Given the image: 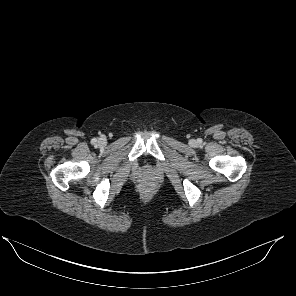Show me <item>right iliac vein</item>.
I'll list each match as a JSON object with an SVG mask.
<instances>
[{
	"label": "right iliac vein",
	"instance_id": "obj_1",
	"mask_svg": "<svg viewBox=\"0 0 296 296\" xmlns=\"http://www.w3.org/2000/svg\"><path fill=\"white\" fill-rule=\"evenodd\" d=\"M99 143H103V139L99 140Z\"/></svg>",
	"mask_w": 296,
	"mask_h": 296
}]
</instances>
